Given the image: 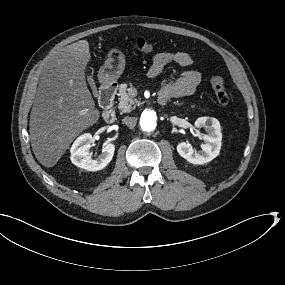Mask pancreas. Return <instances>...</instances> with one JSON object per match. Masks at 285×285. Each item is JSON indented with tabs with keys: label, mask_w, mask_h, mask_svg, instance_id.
Instances as JSON below:
<instances>
[{
	"label": "pancreas",
	"mask_w": 285,
	"mask_h": 285,
	"mask_svg": "<svg viewBox=\"0 0 285 285\" xmlns=\"http://www.w3.org/2000/svg\"><path fill=\"white\" fill-rule=\"evenodd\" d=\"M119 101V108L123 113L130 112L132 105L138 102L136 99L130 98L126 92L121 94Z\"/></svg>",
	"instance_id": "cf45deb5"
}]
</instances>
